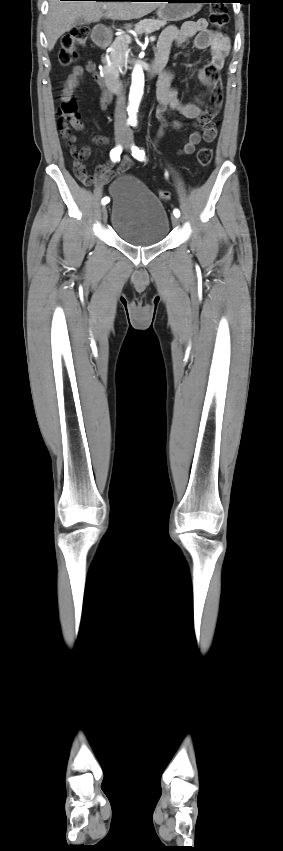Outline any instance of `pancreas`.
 Returning <instances> with one entry per match:
<instances>
[{
    "label": "pancreas",
    "mask_w": 283,
    "mask_h": 851,
    "mask_svg": "<svg viewBox=\"0 0 283 851\" xmlns=\"http://www.w3.org/2000/svg\"><path fill=\"white\" fill-rule=\"evenodd\" d=\"M167 23L161 20L147 19L135 25L138 34L154 32L164 27ZM127 35L118 36L110 46V52L102 59L105 74H118L125 64V53L130 41Z\"/></svg>",
    "instance_id": "pancreas-1"
}]
</instances>
